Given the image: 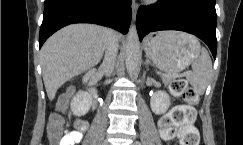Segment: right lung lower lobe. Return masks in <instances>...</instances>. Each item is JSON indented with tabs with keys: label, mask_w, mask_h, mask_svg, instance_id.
<instances>
[{
	"label": "right lung lower lobe",
	"mask_w": 243,
	"mask_h": 145,
	"mask_svg": "<svg viewBox=\"0 0 243 145\" xmlns=\"http://www.w3.org/2000/svg\"><path fill=\"white\" fill-rule=\"evenodd\" d=\"M131 22V0H45L39 48L60 28L73 23H96L123 34Z\"/></svg>",
	"instance_id": "1"
}]
</instances>
